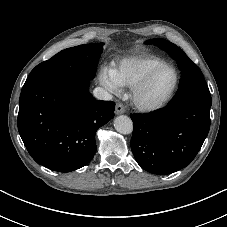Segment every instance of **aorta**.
Returning <instances> with one entry per match:
<instances>
[{
    "instance_id": "1",
    "label": "aorta",
    "mask_w": 227,
    "mask_h": 227,
    "mask_svg": "<svg viewBox=\"0 0 227 227\" xmlns=\"http://www.w3.org/2000/svg\"><path fill=\"white\" fill-rule=\"evenodd\" d=\"M114 127L121 134H130L133 131V122L126 115H120L114 120Z\"/></svg>"
}]
</instances>
